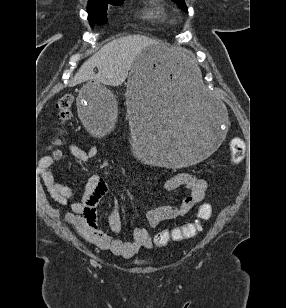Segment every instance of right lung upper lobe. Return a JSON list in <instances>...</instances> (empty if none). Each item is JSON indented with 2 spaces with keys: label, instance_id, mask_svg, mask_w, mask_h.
Listing matches in <instances>:
<instances>
[{
  "label": "right lung upper lobe",
  "instance_id": "right-lung-upper-lobe-1",
  "mask_svg": "<svg viewBox=\"0 0 286 308\" xmlns=\"http://www.w3.org/2000/svg\"><path fill=\"white\" fill-rule=\"evenodd\" d=\"M108 0H89V3L103 2Z\"/></svg>",
  "mask_w": 286,
  "mask_h": 308
}]
</instances>
